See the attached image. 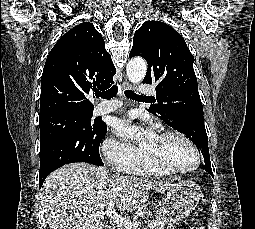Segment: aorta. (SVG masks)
<instances>
[{"mask_svg": "<svg viewBox=\"0 0 255 229\" xmlns=\"http://www.w3.org/2000/svg\"><path fill=\"white\" fill-rule=\"evenodd\" d=\"M126 71L129 81L133 84H138L145 77L147 63L143 58H133L128 62Z\"/></svg>", "mask_w": 255, "mask_h": 229, "instance_id": "aorta-1", "label": "aorta"}]
</instances>
